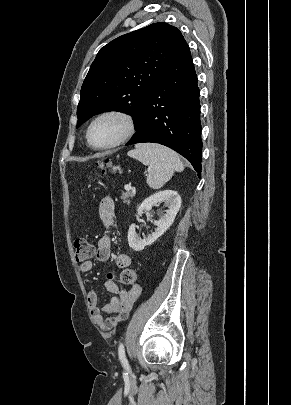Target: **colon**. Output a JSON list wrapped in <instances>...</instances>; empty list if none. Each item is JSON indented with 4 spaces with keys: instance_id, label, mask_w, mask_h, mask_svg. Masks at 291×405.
Instances as JSON below:
<instances>
[{
    "instance_id": "1",
    "label": "colon",
    "mask_w": 291,
    "mask_h": 405,
    "mask_svg": "<svg viewBox=\"0 0 291 405\" xmlns=\"http://www.w3.org/2000/svg\"><path fill=\"white\" fill-rule=\"evenodd\" d=\"M98 166L101 169V171L104 172L110 168L111 164L110 162L105 161L100 162ZM74 249L76 261L80 264L87 262L94 253L93 246L84 238H79L75 240ZM109 278L113 280L112 275H110ZM136 280H137L136 271L129 268L123 269L118 276V282L125 285L134 284Z\"/></svg>"
}]
</instances>
